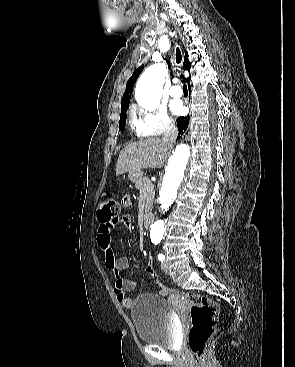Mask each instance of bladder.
<instances>
[{
	"mask_svg": "<svg viewBox=\"0 0 295 367\" xmlns=\"http://www.w3.org/2000/svg\"><path fill=\"white\" fill-rule=\"evenodd\" d=\"M131 318L138 338L166 349L177 343V327L169 302L162 296L145 293L131 305Z\"/></svg>",
	"mask_w": 295,
	"mask_h": 367,
	"instance_id": "bladder-1",
	"label": "bladder"
}]
</instances>
